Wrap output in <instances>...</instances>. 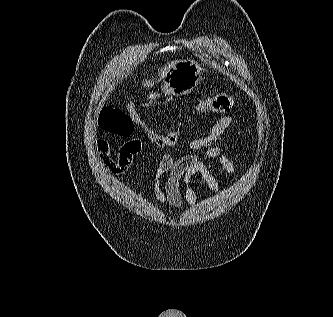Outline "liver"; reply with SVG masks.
Wrapping results in <instances>:
<instances>
[{
	"instance_id": "obj_1",
	"label": "liver",
	"mask_w": 333,
	"mask_h": 317,
	"mask_svg": "<svg viewBox=\"0 0 333 317\" xmlns=\"http://www.w3.org/2000/svg\"><path fill=\"white\" fill-rule=\"evenodd\" d=\"M178 63V61H173L171 63H169L163 70L161 73V77H165L167 75V73L169 72V70L174 67L176 64Z\"/></svg>"
}]
</instances>
